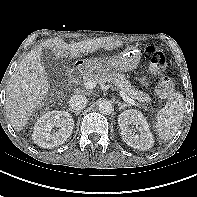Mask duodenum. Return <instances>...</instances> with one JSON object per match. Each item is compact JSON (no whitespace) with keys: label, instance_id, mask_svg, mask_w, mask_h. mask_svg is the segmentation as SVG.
<instances>
[{"label":"duodenum","instance_id":"obj_1","mask_svg":"<svg viewBox=\"0 0 197 197\" xmlns=\"http://www.w3.org/2000/svg\"><path fill=\"white\" fill-rule=\"evenodd\" d=\"M82 72H83L82 66H76L75 68H73V70L70 73V81L72 83H76L79 80Z\"/></svg>","mask_w":197,"mask_h":197}]
</instances>
